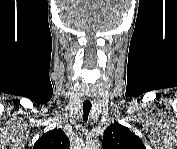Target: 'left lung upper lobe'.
Returning a JSON list of instances; mask_svg holds the SVG:
<instances>
[{"mask_svg":"<svg viewBox=\"0 0 177 149\" xmlns=\"http://www.w3.org/2000/svg\"><path fill=\"white\" fill-rule=\"evenodd\" d=\"M104 149H144L141 139L119 123L111 124L104 132Z\"/></svg>","mask_w":177,"mask_h":149,"instance_id":"left-lung-upper-lobe-1","label":"left lung upper lobe"}]
</instances>
